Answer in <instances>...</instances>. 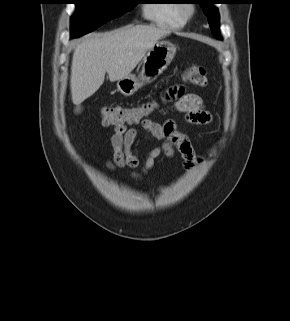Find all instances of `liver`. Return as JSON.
I'll list each match as a JSON object with an SVG mask.
<instances>
[{
    "label": "liver",
    "instance_id": "1",
    "mask_svg": "<svg viewBox=\"0 0 290 321\" xmlns=\"http://www.w3.org/2000/svg\"><path fill=\"white\" fill-rule=\"evenodd\" d=\"M169 30L154 25L127 26L87 36L73 52L70 88L72 101L80 105L103 84L127 77L147 51Z\"/></svg>",
    "mask_w": 290,
    "mask_h": 321
}]
</instances>
